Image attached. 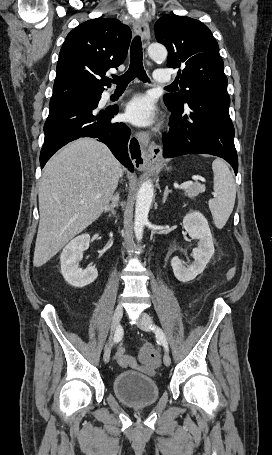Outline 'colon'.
Instances as JSON below:
<instances>
[{"label":"colon","instance_id":"colon-1","mask_svg":"<svg viewBox=\"0 0 272 455\" xmlns=\"http://www.w3.org/2000/svg\"><path fill=\"white\" fill-rule=\"evenodd\" d=\"M140 360L149 365H157L160 361L159 354L152 345H144L139 354Z\"/></svg>","mask_w":272,"mask_h":455}]
</instances>
